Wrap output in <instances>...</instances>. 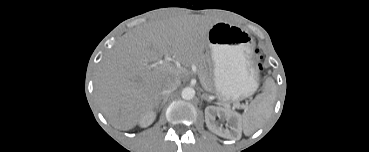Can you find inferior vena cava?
<instances>
[{"mask_svg":"<svg viewBox=\"0 0 369 152\" xmlns=\"http://www.w3.org/2000/svg\"><path fill=\"white\" fill-rule=\"evenodd\" d=\"M179 85H180V81L178 80L176 81L167 80L163 86L161 95L162 96L168 95L169 93L175 91Z\"/></svg>","mask_w":369,"mask_h":152,"instance_id":"602c4592","label":"inferior vena cava"}]
</instances>
